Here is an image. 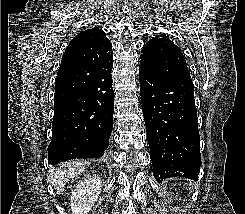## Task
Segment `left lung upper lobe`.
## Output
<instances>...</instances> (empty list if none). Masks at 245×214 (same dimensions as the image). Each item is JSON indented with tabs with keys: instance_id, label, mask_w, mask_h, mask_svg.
I'll list each match as a JSON object with an SVG mask.
<instances>
[{
	"instance_id": "1",
	"label": "left lung upper lobe",
	"mask_w": 245,
	"mask_h": 214,
	"mask_svg": "<svg viewBox=\"0 0 245 214\" xmlns=\"http://www.w3.org/2000/svg\"><path fill=\"white\" fill-rule=\"evenodd\" d=\"M140 66L165 78L192 81L181 49L162 34L143 46Z\"/></svg>"
}]
</instances>
